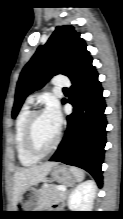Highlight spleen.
Masks as SVG:
<instances>
[{
    "instance_id": "1",
    "label": "spleen",
    "mask_w": 123,
    "mask_h": 219,
    "mask_svg": "<svg viewBox=\"0 0 123 219\" xmlns=\"http://www.w3.org/2000/svg\"><path fill=\"white\" fill-rule=\"evenodd\" d=\"M72 174L75 176L77 181H82L84 179V172L80 170L79 168L76 167H71L70 168Z\"/></svg>"
}]
</instances>
